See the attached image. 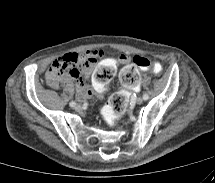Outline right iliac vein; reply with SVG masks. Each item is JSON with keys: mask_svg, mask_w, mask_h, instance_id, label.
I'll return each instance as SVG.
<instances>
[{"mask_svg": "<svg viewBox=\"0 0 215 183\" xmlns=\"http://www.w3.org/2000/svg\"><path fill=\"white\" fill-rule=\"evenodd\" d=\"M75 109H76V110H80V109H81V105H76V106H75Z\"/></svg>", "mask_w": 215, "mask_h": 183, "instance_id": "obj_1", "label": "right iliac vein"}]
</instances>
